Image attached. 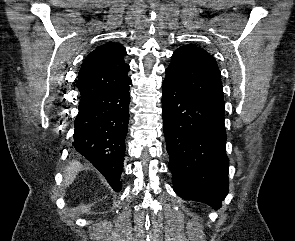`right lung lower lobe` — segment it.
Instances as JSON below:
<instances>
[{
	"mask_svg": "<svg viewBox=\"0 0 295 241\" xmlns=\"http://www.w3.org/2000/svg\"><path fill=\"white\" fill-rule=\"evenodd\" d=\"M81 97L74 122L73 146L118 192L122 189L125 137L129 122V85Z\"/></svg>",
	"mask_w": 295,
	"mask_h": 241,
	"instance_id": "1",
	"label": "right lung lower lobe"
}]
</instances>
